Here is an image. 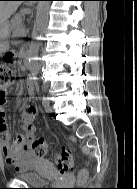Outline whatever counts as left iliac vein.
Here are the masks:
<instances>
[{"label": "left iliac vein", "mask_w": 137, "mask_h": 189, "mask_svg": "<svg viewBox=\"0 0 137 189\" xmlns=\"http://www.w3.org/2000/svg\"><path fill=\"white\" fill-rule=\"evenodd\" d=\"M44 107H45L46 113H51L52 112V107L49 104V102L48 103H44Z\"/></svg>", "instance_id": "left-iliac-vein-1"}]
</instances>
